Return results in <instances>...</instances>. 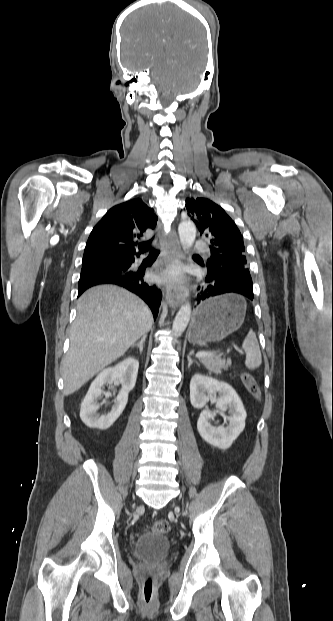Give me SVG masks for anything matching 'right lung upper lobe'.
Here are the masks:
<instances>
[{
	"mask_svg": "<svg viewBox=\"0 0 333 621\" xmlns=\"http://www.w3.org/2000/svg\"><path fill=\"white\" fill-rule=\"evenodd\" d=\"M157 219L154 209L140 198L112 207L93 228L83 259L120 258L146 252V243L138 239L155 228ZM136 246L139 252L135 251Z\"/></svg>",
	"mask_w": 333,
	"mask_h": 621,
	"instance_id": "obj_1",
	"label": "right lung upper lobe"
}]
</instances>
